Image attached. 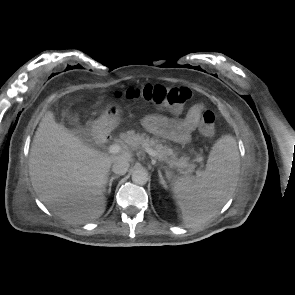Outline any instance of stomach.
Instances as JSON below:
<instances>
[{
    "instance_id": "1",
    "label": "stomach",
    "mask_w": 295,
    "mask_h": 295,
    "mask_svg": "<svg viewBox=\"0 0 295 295\" xmlns=\"http://www.w3.org/2000/svg\"><path fill=\"white\" fill-rule=\"evenodd\" d=\"M121 110L116 105H109L103 114L93 123L92 131L96 134H106L114 129L120 121Z\"/></svg>"
}]
</instances>
